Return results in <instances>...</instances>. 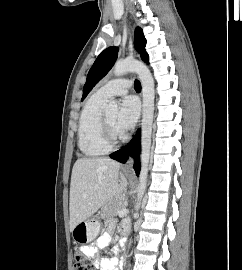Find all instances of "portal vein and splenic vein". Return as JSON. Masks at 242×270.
Instances as JSON below:
<instances>
[{
    "instance_id": "18ae733b",
    "label": "portal vein and splenic vein",
    "mask_w": 242,
    "mask_h": 270,
    "mask_svg": "<svg viewBox=\"0 0 242 270\" xmlns=\"http://www.w3.org/2000/svg\"><path fill=\"white\" fill-rule=\"evenodd\" d=\"M128 212V209H126V208H122V209H120V210H118L117 211V214L118 215H124V214H126Z\"/></svg>"
}]
</instances>
